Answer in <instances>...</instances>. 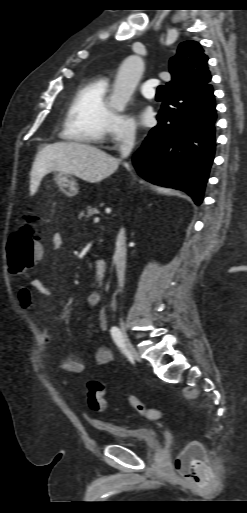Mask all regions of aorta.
<instances>
[{"instance_id":"aorta-1","label":"aorta","mask_w":247,"mask_h":513,"mask_svg":"<svg viewBox=\"0 0 247 513\" xmlns=\"http://www.w3.org/2000/svg\"><path fill=\"white\" fill-rule=\"evenodd\" d=\"M144 69V62L140 56L127 57L121 64L114 84L110 106L122 112L130 100Z\"/></svg>"}]
</instances>
